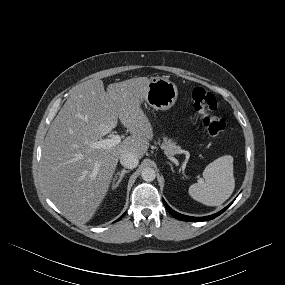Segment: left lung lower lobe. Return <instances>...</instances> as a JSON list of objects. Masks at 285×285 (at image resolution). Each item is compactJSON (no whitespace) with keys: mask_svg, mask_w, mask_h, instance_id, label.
<instances>
[{"mask_svg":"<svg viewBox=\"0 0 285 285\" xmlns=\"http://www.w3.org/2000/svg\"><path fill=\"white\" fill-rule=\"evenodd\" d=\"M163 203L167 209V211L173 215L176 219L182 220V221H193V222H200V221H207V220H211L214 219L215 217L219 216L220 214H222L231 204H229L227 207H225L223 210L219 211L218 213H215L213 215L210 216H205V217H191V216H186V215H182L177 213L176 211L172 210L167 203L164 201L163 199Z\"/></svg>","mask_w":285,"mask_h":285,"instance_id":"0a47b994","label":"left lung lower lobe"}]
</instances>
